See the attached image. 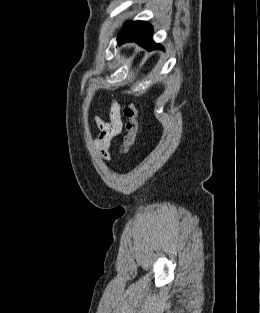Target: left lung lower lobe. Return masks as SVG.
<instances>
[{
  "instance_id": "1",
  "label": "left lung lower lobe",
  "mask_w": 260,
  "mask_h": 313,
  "mask_svg": "<svg viewBox=\"0 0 260 313\" xmlns=\"http://www.w3.org/2000/svg\"><path fill=\"white\" fill-rule=\"evenodd\" d=\"M152 34L153 29L150 24L145 21H136L118 40V44L135 41L148 50L160 48V45L155 44L152 40Z\"/></svg>"
}]
</instances>
